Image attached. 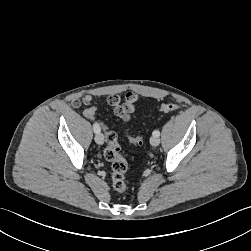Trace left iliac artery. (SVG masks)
<instances>
[{
	"mask_svg": "<svg viewBox=\"0 0 251 251\" xmlns=\"http://www.w3.org/2000/svg\"><path fill=\"white\" fill-rule=\"evenodd\" d=\"M153 136L159 137L160 136V131L159 130L153 131Z\"/></svg>",
	"mask_w": 251,
	"mask_h": 251,
	"instance_id": "44dca946",
	"label": "left iliac artery"
}]
</instances>
